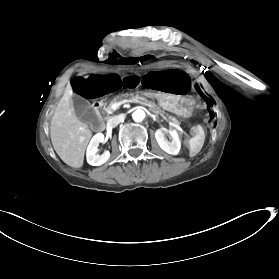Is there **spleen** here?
Wrapping results in <instances>:
<instances>
[{
  "instance_id": "1",
  "label": "spleen",
  "mask_w": 279,
  "mask_h": 279,
  "mask_svg": "<svg viewBox=\"0 0 279 279\" xmlns=\"http://www.w3.org/2000/svg\"><path fill=\"white\" fill-rule=\"evenodd\" d=\"M197 136H194L187 142V147L190 149V156H195L202 148L204 144V132L201 127L196 129Z\"/></svg>"
}]
</instances>
